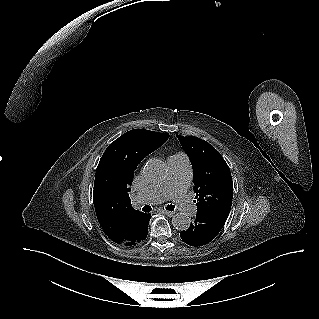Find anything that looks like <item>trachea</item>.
Segmentation results:
<instances>
[{
	"instance_id": "1",
	"label": "trachea",
	"mask_w": 319,
	"mask_h": 319,
	"mask_svg": "<svg viewBox=\"0 0 319 319\" xmlns=\"http://www.w3.org/2000/svg\"><path fill=\"white\" fill-rule=\"evenodd\" d=\"M174 206L173 205H168L166 206V209L169 210V211H173L174 210ZM152 210V208L150 206H144L142 211L144 212H150Z\"/></svg>"
}]
</instances>
